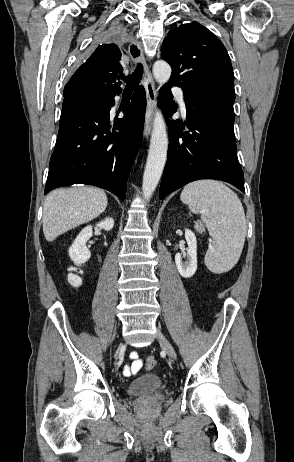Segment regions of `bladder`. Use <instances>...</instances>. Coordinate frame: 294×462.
I'll use <instances>...</instances> for the list:
<instances>
[{
    "mask_svg": "<svg viewBox=\"0 0 294 462\" xmlns=\"http://www.w3.org/2000/svg\"><path fill=\"white\" fill-rule=\"evenodd\" d=\"M164 380L157 375H148L132 381L127 386V393L130 396L145 395L164 388Z\"/></svg>",
    "mask_w": 294,
    "mask_h": 462,
    "instance_id": "31cf9c89",
    "label": "bladder"
}]
</instances>
